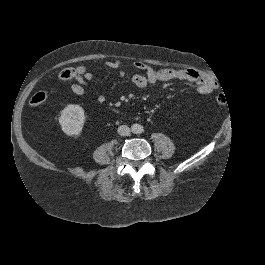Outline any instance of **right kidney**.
Instances as JSON below:
<instances>
[{
  "label": "right kidney",
  "instance_id": "right-kidney-1",
  "mask_svg": "<svg viewBox=\"0 0 265 265\" xmlns=\"http://www.w3.org/2000/svg\"><path fill=\"white\" fill-rule=\"evenodd\" d=\"M85 121L84 109L76 104L65 107L58 119L63 133L68 137L79 136L82 133Z\"/></svg>",
  "mask_w": 265,
  "mask_h": 265
}]
</instances>
